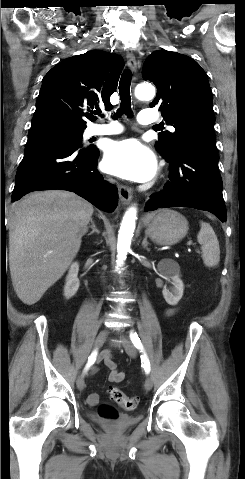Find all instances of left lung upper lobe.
Segmentation results:
<instances>
[{
  "label": "left lung upper lobe",
  "instance_id": "5c2ea615",
  "mask_svg": "<svg viewBox=\"0 0 245 479\" xmlns=\"http://www.w3.org/2000/svg\"><path fill=\"white\" fill-rule=\"evenodd\" d=\"M142 76L157 87L151 107L158 106L175 132H161L155 144L166 159L199 143L216 145L215 116L209 82L204 70L189 56L158 50L145 60Z\"/></svg>",
  "mask_w": 245,
  "mask_h": 479
}]
</instances>
